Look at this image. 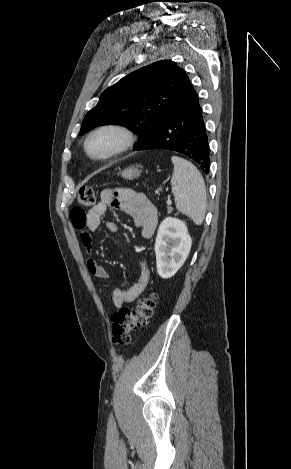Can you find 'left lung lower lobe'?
<instances>
[{
	"label": "left lung lower lobe",
	"mask_w": 291,
	"mask_h": 469,
	"mask_svg": "<svg viewBox=\"0 0 291 469\" xmlns=\"http://www.w3.org/2000/svg\"><path fill=\"white\" fill-rule=\"evenodd\" d=\"M168 149L182 153L208 174L210 149L199 99L190 84L170 111L135 150Z\"/></svg>",
	"instance_id": "1"
}]
</instances>
